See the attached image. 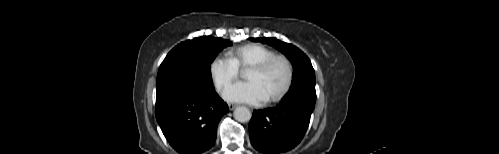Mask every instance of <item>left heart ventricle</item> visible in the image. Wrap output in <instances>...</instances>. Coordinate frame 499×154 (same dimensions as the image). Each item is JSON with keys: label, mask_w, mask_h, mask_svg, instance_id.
Returning a JSON list of instances; mask_svg holds the SVG:
<instances>
[{"label": "left heart ventricle", "mask_w": 499, "mask_h": 154, "mask_svg": "<svg viewBox=\"0 0 499 154\" xmlns=\"http://www.w3.org/2000/svg\"><path fill=\"white\" fill-rule=\"evenodd\" d=\"M248 81L256 82L266 98L280 91L286 80V67L281 61L274 62L267 70L259 72L248 70L245 73Z\"/></svg>", "instance_id": "left-heart-ventricle-1"}]
</instances>
